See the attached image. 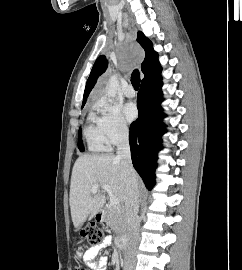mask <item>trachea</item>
Here are the masks:
<instances>
[{"instance_id":"trachea-1","label":"trachea","mask_w":242,"mask_h":270,"mask_svg":"<svg viewBox=\"0 0 242 270\" xmlns=\"http://www.w3.org/2000/svg\"><path fill=\"white\" fill-rule=\"evenodd\" d=\"M131 83L133 85V87L138 90L139 86H140V75H139V71L136 69L133 71L132 75H131Z\"/></svg>"}]
</instances>
